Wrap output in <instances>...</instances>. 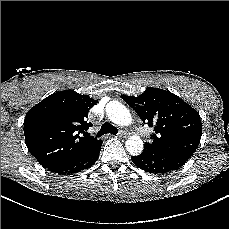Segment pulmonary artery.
<instances>
[{"label": "pulmonary artery", "mask_w": 229, "mask_h": 229, "mask_svg": "<svg viewBox=\"0 0 229 229\" xmlns=\"http://www.w3.org/2000/svg\"><path fill=\"white\" fill-rule=\"evenodd\" d=\"M137 129H138V131H140V134H141V135H145L146 130H144L142 127H139V128H137Z\"/></svg>", "instance_id": "e3ab8cb5"}]
</instances>
